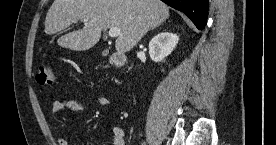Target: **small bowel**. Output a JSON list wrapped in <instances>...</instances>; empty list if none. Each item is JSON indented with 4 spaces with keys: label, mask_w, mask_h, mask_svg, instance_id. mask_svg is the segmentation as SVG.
Returning <instances> with one entry per match:
<instances>
[{
    "label": "small bowel",
    "mask_w": 276,
    "mask_h": 145,
    "mask_svg": "<svg viewBox=\"0 0 276 145\" xmlns=\"http://www.w3.org/2000/svg\"><path fill=\"white\" fill-rule=\"evenodd\" d=\"M96 103L101 106H107L109 101L105 96H98L95 99ZM85 107L84 102L73 101L64 97L58 98L54 101L52 106V113L54 116L58 115L65 109L68 110H80ZM110 137L112 140V145H125V133L121 126H115L110 131ZM57 145H68V140L60 135L56 136Z\"/></svg>",
    "instance_id": "small-bowel-1"
}]
</instances>
